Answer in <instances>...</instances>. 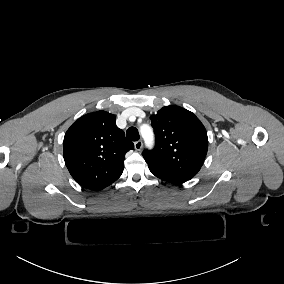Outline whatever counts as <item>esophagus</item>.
<instances>
[{"label":"esophagus","mask_w":284,"mask_h":284,"mask_svg":"<svg viewBox=\"0 0 284 284\" xmlns=\"http://www.w3.org/2000/svg\"><path fill=\"white\" fill-rule=\"evenodd\" d=\"M134 146H135V149L139 151L143 147V142L141 140H138L134 143Z\"/></svg>","instance_id":"34e87169"}]
</instances>
